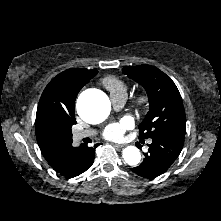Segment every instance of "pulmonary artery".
I'll list each match as a JSON object with an SVG mask.
<instances>
[{
  "label": "pulmonary artery",
  "instance_id": "pulmonary-artery-1",
  "mask_svg": "<svg viewBox=\"0 0 221 221\" xmlns=\"http://www.w3.org/2000/svg\"><path fill=\"white\" fill-rule=\"evenodd\" d=\"M111 102L115 109H120L126 102V94L118 93V94H111ZM96 134V130L94 129H84V130H77L73 132V138L76 141L82 140L86 137H92Z\"/></svg>",
  "mask_w": 221,
  "mask_h": 221
}]
</instances>
